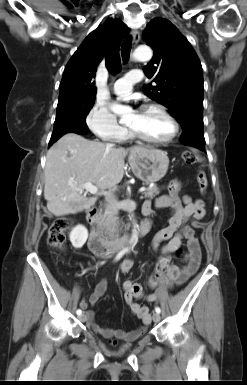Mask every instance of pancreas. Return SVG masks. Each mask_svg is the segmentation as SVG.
I'll return each instance as SVG.
<instances>
[{"mask_svg":"<svg viewBox=\"0 0 247 385\" xmlns=\"http://www.w3.org/2000/svg\"><path fill=\"white\" fill-rule=\"evenodd\" d=\"M144 196L146 198H154L156 195L159 194V188L155 185V186H152V187H149L147 188L144 192H143ZM100 222L102 224V226L106 229V233L109 234V230L111 229V224H112V218L108 212V210H106L100 217Z\"/></svg>","mask_w":247,"mask_h":385,"instance_id":"pancreas-1","label":"pancreas"}]
</instances>
